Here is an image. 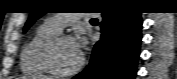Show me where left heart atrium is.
<instances>
[{
    "mask_svg": "<svg viewBox=\"0 0 177 79\" xmlns=\"http://www.w3.org/2000/svg\"><path fill=\"white\" fill-rule=\"evenodd\" d=\"M86 45V39L82 38L79 42H76L78 51L81 53L82 48Z\"/></svg>",
    "mask_w": 177,
    "mask_h": 79,
    "instance_id": "left-heart-atrium-1",
    "label": "left heart atrium"
}]
</instances>
